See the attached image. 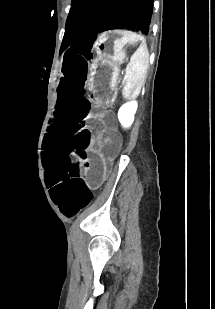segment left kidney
Wrapping results in <instances>:
<instances>
[{"instance_id": "5707ae66", "label": "left kidney", "mask_w": 215, "mask_h": 309, "mask_svg": "<svg viewBox=\"0 0 215 309\" xmlns=\"http://www.w3.org/2000/svg\"><path fill=\"white\" fill-rule=\"evenodd\" d=\"M138 108L137 100H130L122 104L118 110V120L121 122L124 128H129L132 122H134L135 112Z\"/></svg>"}]
</instances>
